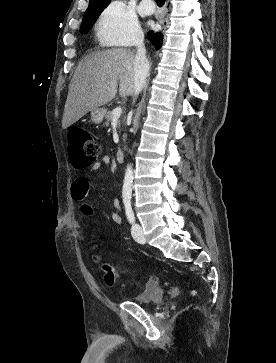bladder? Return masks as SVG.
Returning a JSON list of instances; mask_svg holds the SVG:
<instances>
[{
    "label": "bladder",
    "instance_id": "obj_1",
    "mask_svg": "<svg viewBox=\"0 0 276 363\" xmlns=\"http://www.w3.org/2000/svg\"><path fill=\"white\" fill-rule=\"evenodd\" d=\"M163 298L164 288L157 285H149L133 301L141 305L155 306L160 304Z\"/></svg>",
    "mask_w": 276,
    "mask_h": 363
}]
</instances>
